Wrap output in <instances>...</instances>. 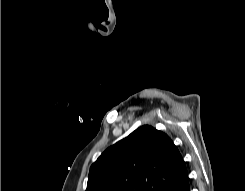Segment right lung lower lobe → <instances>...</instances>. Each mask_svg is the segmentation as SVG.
<instances>
[{"label": "right lung lower lobe", "instance_id": "right-lung-lower-lobe-1", "mask_svg": "<svg viewBox=\"0 0 245 191\" xmlns=\"http://www.w3.org/2000/svg\"><path fill=\"white\" fill-rule=\"evenodd\" d=\"M163 191H190L189 178L184 176L177 182L166 187Z\"/></svg>", "mask_w": 245, "mask_h": 191}]
</instances>
